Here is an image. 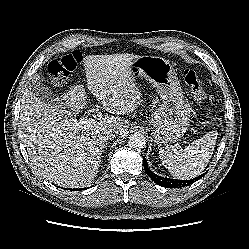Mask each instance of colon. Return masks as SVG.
Listing matches in <instances>:
<instances>
[{
    "label": "colon",
    "instance_id": "obj_1",
    "mask_svg": "<svg viewBox=\"0 0 249 249\" xmlns=\"http://www.w3.org/2000/svg\"><path fill=\"white\" fill-rule=\"evenodd\" d=\"M81 60L82 54L79 51H73L50 62L48 65V74L52 83L56 87L62 86ZM183 78L190 88L194 100L197 103L204 102L207 93L202 75L192 68H185L183 70Z\"/></svg>",
    "mask_w": 249,
    "mask_h": 249
}]
</instances>
